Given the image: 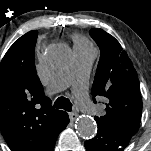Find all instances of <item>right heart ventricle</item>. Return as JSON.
I'll return each instance as SVG.
<instances>
[{
	"mask_svg": "<svg viewBox=\"0 0 151 151\" xmlns=\"http://www.w3.org/2000/svg\"><path fill=\"white\" fill-rule=\"evenodd\" d=\"M75 46H90L89 42L82 36L80 35H75L73 37Z\"/></svg>",
	"mask_w": 151,
	"mask_h": 151,
	"instance_id": "right-heart-ventricle-1",
	"label": "right heart ventricle"
}]
</instances>
